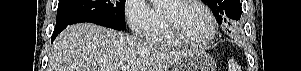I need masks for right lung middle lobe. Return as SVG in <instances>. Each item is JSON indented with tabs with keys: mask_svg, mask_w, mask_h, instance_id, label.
Wrapping results in <instances>:
<instances>
[{
	"mask_svg": "<svg viewBox=\"0 0 301 71\" xmlns=\"http://www.w3.org/2000/svg\"><path fill=\"white\" fill-rule=\"evenodd\" d=\"M126 0H59L56 26L91 22L112 29L125 30Z\"/></svg>",
	"mask_w": 301,
	"mask_h": 71,
	"instance_id": "dd1d6c3e",
	"label": "right lung middle lobe"
}]
</instances>
